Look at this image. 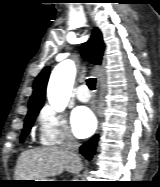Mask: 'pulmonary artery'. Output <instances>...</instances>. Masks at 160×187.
I'll use <instances>...</instances> for the list:
<instances>
[{"mask_svg":"<svg viewBox=\"0 0 160 187\" xmlns=\"http://www.w3.org/2000/svg\"><path fill=\"white\" fill-rule=\"evenodd\" d=\"M76 97L81 102H87L90 99V94L87 92L85 85H80L76 91Z\"/></svg>","mask_w":160,"mask_h":187,"instance_id":"pulmonary-artery-1","label":"pulmonary artery"}]
</instances>
